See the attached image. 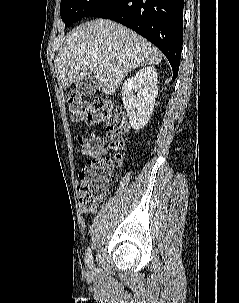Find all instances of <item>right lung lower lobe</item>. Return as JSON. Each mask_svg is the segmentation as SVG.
Masks as SVG:
<instances>
[{
    "mask_svg": "<svg viewBox=\"0 0 239 303\" xmlns=\"http://www.w3.org/2000/svg\"><path fill=\"white\" fill-rule=\"evenodd\" d=\"M184 0H106L87 16L117 21L157 46L178 75Z\"/></svg>",
    "mask_w": 239,
    "mask_h": 303,
    "instance_id": "obj_1",
    "label": "right lung lower lobe"
}]
</instances>
